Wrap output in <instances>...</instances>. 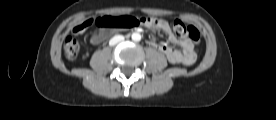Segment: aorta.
I'll return each mask as SVG.
<instances>
[{
  "label": "aorta",
  "mask_w": 276,
  "mask_h": 120,
  "mask_svg": "<svg viewBox=\"0 0 276 120\" xmlns=\"http://www.w3.org/2000/svg\"><path fill=\"white\" fill-rule=\"evenodd\" d=\"M132 40L136 41V42L140 41L141 40V35L139 33H133L132 34Z\"/></svg>",
  "instance_id": "1"
}]
</instances>
